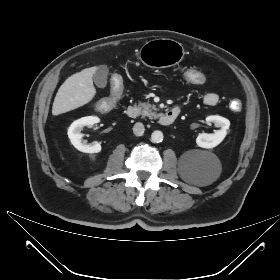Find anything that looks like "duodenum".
<instances>
[{"label":"duodenum","instance_id":"1","mask_svg":"<svg viewBox=\"0 0 280 280\" xmlns=\"http://www.w3.org/2000/svg\"><path fill=\"white\" fill-rule=\"evenodd\" d=\"M179 113L180 110L179 108L176 107L167 110L160 118V124L163 126L172 124L174 120L177 118V116L179 115ZM126 114L129 118L135 119L139 114V110L137 106L129 105L126 109Z\"/></svg>","mask_w":280,"mask_h":280}]
</instances>
